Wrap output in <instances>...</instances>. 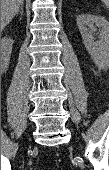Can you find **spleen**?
I'll return each instance as SVG.
<instances>
[{"label":"spleen","instance_id":"obj_1","mask_svg":"<svg viewBox=\"0 0 109 170\" xmlns=\"http://www.w3.org/2000/svg\"><path fill=\"white\" fill-rule=\"evenodd\" d=\"M105 5L109 4V0H101Z\"/></svg>","mask_w":109,"mask_h":170}]
</instances>
